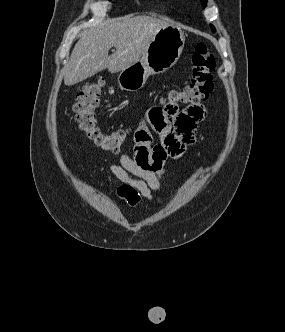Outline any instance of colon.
<instances>
[{
  "label": "colon",
  "mask_w": 285,
  "mask_h": 332,
  "mask_svg": "<svg viewBox=\"0 0 285 332\" xmlns=\"http://www.w3.org/2000/svg\"><path fill=\"white\" fill-rule=\"evenodd\" d=\"M191 61L192 74L189 84L167 95L172 96L174 103H178L179 107L198 105L208 98L214 87L215 59L204 43L196 45ZM103 89L104 81L99 79L88 83L80 90L73 107L75 120L80 130L98 148L107 152H117L123 146L128 132L125 129L104 132L98 125L95 110ZM164 103L163 98L158 106H163Z\"/></svg>",
  "instance_id": "1"
}]
</instances>
